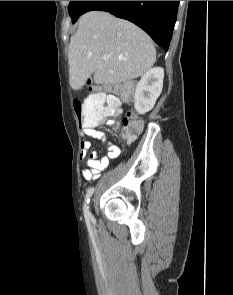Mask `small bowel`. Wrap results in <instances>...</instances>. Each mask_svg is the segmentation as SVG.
<instances>
[{"label":"small bowel","mask_w":233,"mask_h":295,"mask_svg":"<svg viewBox=\"0 0 233 295\" xmlns=\"http://www.w3.org/2000/svg\"><path fill=\"white\" fill-rule=\"evenodd\" d=\"M82 134L87 138L98 140L107 145L108 153L106 156L99 158L96 151H92L88 155V151L91 147L89 140H83L80 147V157L85 160L86 167L82 171V175L86 180L96 179L100 176L102 170H104L109 161L117 158L120 155V148L108 141H106L105 135L102 131L95 129L92 125L85 126L82 129Z\"/></svg>","instance_id":"c3829d8e"}]
</instances>
